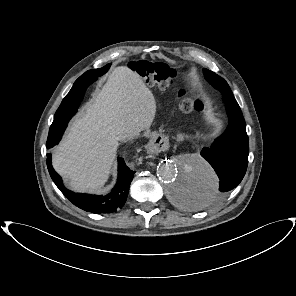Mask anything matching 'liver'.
Wrapping results in <instances>:
<instances>
[{"mask_svg": "<svg viewBox=\"0 0 296 296\" xmlns=\"http://www.w3.org/2000/svg\"><path fill=\"white\" fill-rule=\"evenodd\" d=\"M156 101L141 76L117 67L71 124L53 155V166L78 191L100 189L107 181L120 134L148 129ZM136 135V136H137Z\"/></svg>", "mask_w": 296, "mask_h": 296, "instance_id": "liver-1", "label": "liver"}]
</instances>
